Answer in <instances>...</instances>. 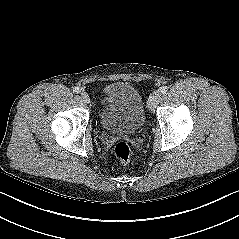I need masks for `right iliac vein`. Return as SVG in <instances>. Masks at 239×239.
I'll return each instance as SVG.
<instances>
[{
	"mask_svg": "<svg viewBox=\"0 0 239 239\" xmlns=\"http://www.w3.org/2000/svg\"><path fill=\"white\" fill-rule=\"evenodd\" d=\"M80 96H81L82 100L85 103H89L90 102V96H89V94L86 91H81L80 92Z\"/></svg>",
	"mask_w": 239,
	"mask_h": 239,
	"instance_id": "1",
	"label": "right iliac vein"
}]
</instances>
